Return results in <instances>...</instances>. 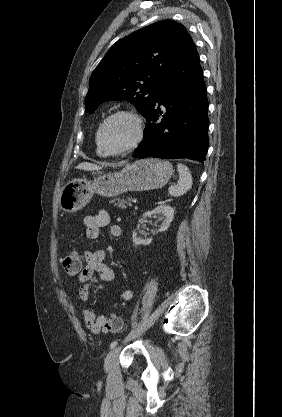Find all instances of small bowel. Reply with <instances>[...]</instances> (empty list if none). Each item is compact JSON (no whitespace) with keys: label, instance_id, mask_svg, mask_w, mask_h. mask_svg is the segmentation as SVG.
<instances>
[{"label":"small bowel","instance_id":"obj_1","mask_svg":"<svg viewBox=\"0 0 282 417\" xmlns=\"http://www.w3.org/2000/svg\"><path fill=\"white\" fill-rule=\"evenodd\" d=\"M82 224L86 229V237L89 240L99 238L101 229L108 227L112 237L118 238L122 235V227L118 224L111 223L108 212L99 209L95 214H87L82 218ZM106 251L104 248H96L85 251V265L80 270L81 277L79 282L81 286L78 290V297L81 301H87L90 297L91 288L97 282H110L114 279L115 273L113 269L105 263ZM134 291L131 288L123 289L120 293L122 301H130L133 298ZM84 324L94 334L105 330L103 319L106 315L96 316L95 313L85 307L82 311ZM120 318V317H119Z\"/></svg>","mask_w":282,"mask_h":417}]
</instances>
